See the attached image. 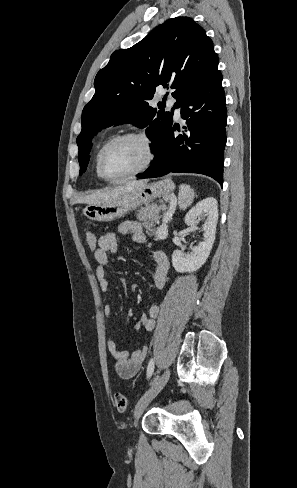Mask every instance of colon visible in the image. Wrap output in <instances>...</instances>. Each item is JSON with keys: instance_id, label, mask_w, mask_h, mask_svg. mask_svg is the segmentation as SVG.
<instances>
[{"instance_id": "1", "label": "colon", "mask_w": 297, "mask_h": 488, "mask_svg": "<svg viewBox=\"0 0 297 488\" xmlns=\"http://www.w3.org/2000/svg\"><path fill=\"white\" fill-rule=\"evenodd\" d=\"M86 242H87V245H88L90 251H92L94 253L96 251V249L98 248V239L93 232H91V231L86 232ZM114 402H115V406L117 407V409L119 411H124L127 407V404H128L127 397L122 392H117L115 394Z\"/></svg>"}]
</instances>
